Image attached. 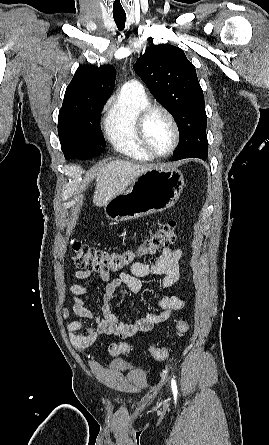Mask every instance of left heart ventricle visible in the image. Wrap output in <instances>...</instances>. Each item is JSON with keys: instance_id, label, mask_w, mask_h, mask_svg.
Returning a JSON list of instances; mask_svg holds the SVG:
<instances>
[{"instance_id": "b2bd125f", "label": "left heart ventricle", "mask_w": 269, "mask_h": 445, "mask_svg": "<svg viewBox=\"0 0 269 445\" xmlns=\"http://www.w3.org/2000/svg\"><path fill=\"white\" fill-rule=\"evenodd\" d=\"M146 137L151 147L157 153L167 152L174 139L173 127L169 119L162 112H154L146 123Z\"/></svg>"}]
</instances>
